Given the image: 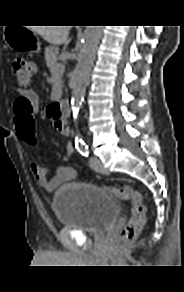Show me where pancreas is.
<instances>
[{
  "label": "pancreas",
  "instance_id": "cf45deb5",
  "mask_svg": "<svg viewBox=\"0 0 184 292\" xmlns=\"http://www.w3.org/2000/svg\"><path fill=\"white\" fill-rule=\"evenodd\" d=\"M58 54L59 48L55 46H50L45 50V61L47 67L49 68L52 75L54 74L58 75V79L54 84V89L61 85V76L63 74V71L57 70V66L60 65V63H58L59 60Z\"/></svg>",
  "mask_w": 184,
  "mask_h": 292
}]
</instances>
